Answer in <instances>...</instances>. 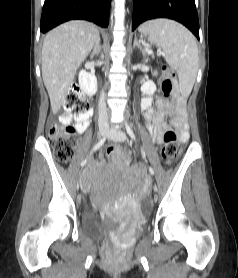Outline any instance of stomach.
I'll list each match as a JSON object with an SVG mask.
<instances>
[{
  "instance_id": "stomach-1",
  "label": "stomach",
  "mask_w": 238,
  "mask_h": 278,
  "mask_svg": "<svg viewBox=\"0 0 238 278\" xmlns=\"http://www.w3.org/2000/svg\"><path fill=\"white\" fill-rule=\"evenodd\" d=\"M140 33L143 36H149V33H148V31L146 29H140Z\"/></svg>"
}]
</instances>
